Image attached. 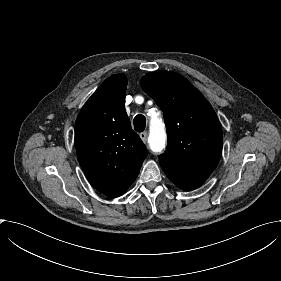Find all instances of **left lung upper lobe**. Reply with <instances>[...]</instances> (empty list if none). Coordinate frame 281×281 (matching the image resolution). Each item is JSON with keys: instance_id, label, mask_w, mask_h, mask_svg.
<instances>
[{"instance_id": "obj_1", "label": "left lung upper lobe", "mask_w": 281, "mask_h": 281, "mask_svg": "<svg viewBox=\"0 0 281 281\" xmlns=\"http://www.w3.org/2000/svg\"><path fill=\"white\" fill-rule=\"evenodd\" d=\"M140 84L164 113L168 146L159 162L186 171L212 172L222 154V129L209 102L174 72H151Z\"/></svg>"}]
</instances>
